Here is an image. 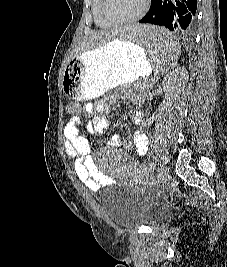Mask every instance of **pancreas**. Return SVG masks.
Masks as SVG:
<instances>
[{"label":"pancreas","mask_w":227,"mask_h":267,"mask_svg":"<svg viewBox=\"0 0 227 267\" xmlns=\"http://www.w3.org/2000/svg\"><path fill=\"white\" fill-rule=\"evenodd\" d=\"M149 86H150V81L147 78H144L142 82H138V83L134 84L133 87L136 90H140L142 93L145 94L147 92ZM128 87H132V85L126 86V88H128Z\"/></svg>","instance_id":"pancreas-1"}]
</instances>
